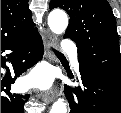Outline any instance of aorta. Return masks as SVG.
<instances>
[{
  "label": "aorta",
  "mask_w": 121,
  "mask_h": 113,
  "mask_svg": "<svg viewBox=\"0 0 121 113\" xmlns=\"http://www.w3.org/2000/svg\"><path fill=\"white\" fill-rule=\"evenodd\" d=\"M48 25L55 34H62L68 26V18L64 11L55 9L48 16ZM50 113H67L66 103L64 99H58L54 102Z\"/></svg>",
  "instance_id": "1"
}]
</instances>
